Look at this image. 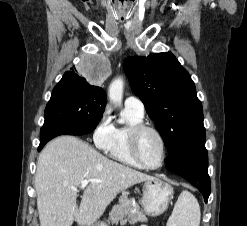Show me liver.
<instances>
[{"label": "liver", "mask_w": 247, "mask_h": 226, "mask_svg": "<svg viewBox=\"0 0 247 226\" xmlns=\"http://www.w3.org/2000/svg\"><path fill=\"white\" fill-rule=\"evenodd\" d=\"M85 179L80 206L77 188ZM153 179L152 176L119 164L101 155L88 143L61 136L50 141L38 157L34 187L40 226H91L106 207L130 186Z\"/></svg>", "instance_id": "1"}]
</instances>
